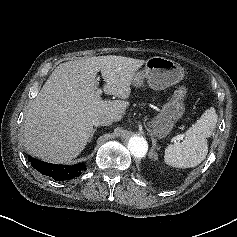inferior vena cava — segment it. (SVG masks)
Masks as SVG:
<instances>
[{"instance_id":"1","label":"inferior vena cava","mask_w":237,"mask_h":237,"mask_svg":"<svg viewBox=\"0 0 237 237\" xmlns=\"http://www.w3.org/2000/svg\"><path fill=\"white\" fill-rule=\"evenodd\" d=\"M113 118L108 116H98L93 120L94 126H107L110 125L113 122Z\"/></svg>"}]
</instances>
